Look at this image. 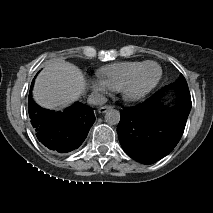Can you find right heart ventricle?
Returning <instances> with one entry per match:
<instances>
[{"label":"right heart ventricle","instance_id":"1","mask_svg":"<svg viewBox=\"0 0 213 213\" xmlns=\"http://www.w3.org/2000/svg\"><path fill=\"white\" fill-rule=\"evenodd\" d=\"M144 62L123 61L99 69V76L104 79L111 90L118 91L123 82Z\"/></svg>","mask_w":213,"mask_h":213}]
</instances>
